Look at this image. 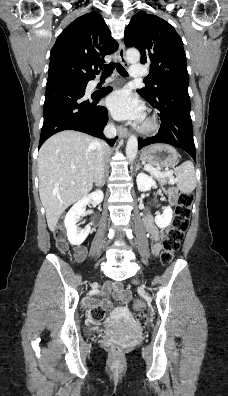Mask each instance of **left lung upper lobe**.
Segmentation results:
<instances>
[{"mask_svg": "<svg viewBox=\"0 0 228 396\" xmlns=\"http://www.w3.org/2000/svg\"><path fill=\"white\" fill-rule=\"evenodd\" d=\"M124 42L128 47H136L141 53V63L150 67L151 83L138 90L141 95L153 100L166 88H188L183 42L168 22L138 12L125 30Z\"/></svg>", "mask_w": 228, "mask_h": 396, "instance_id": "1", "label": "left lung upper lobe"}]
</instances>
